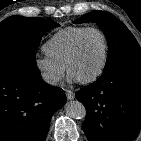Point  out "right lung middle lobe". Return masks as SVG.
Here are the masks:
<instances>
[{
  "label": "right lung middle lobe",
  "instance_id": "1",
  "mask_svg": "<svg viewBox=\"0 0 141 141\" xmlns=\"http://www.w3.org/2000/svg\"><path fill=\"white\" fill-rule=\"evenodd\" d=\"M58 23L42 18L11 16L0 23V67H37L35 53L43 35Z\"/></svg>",
  "mask_w": 141,
  "mask_h": 141
}]
</instances>
